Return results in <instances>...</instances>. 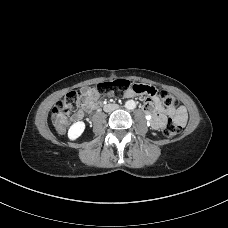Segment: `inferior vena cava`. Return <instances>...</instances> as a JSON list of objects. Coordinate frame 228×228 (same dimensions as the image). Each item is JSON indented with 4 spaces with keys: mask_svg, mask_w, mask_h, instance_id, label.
Here are the masks:
<instances>
[{
    "mask_svg": "<svg viewBox=\"0 0 228 228\" xmlns=\"http://www.w3.org/2000/svg\"><path fill=\"white\" fill-rule=\"evenodd\" d=\"M118 107L119 106L117 104H107L104 106L103 110L105 112H112V111L118 109Z\"/></svg>",
    "mask_w": 228,
    "mask_h": 228,
    "instance_id": "obj_1",
    "label": "inferior vena cava"
}]
</instances>
